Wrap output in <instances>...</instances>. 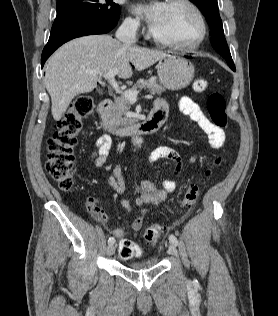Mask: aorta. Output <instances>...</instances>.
<instances>
[{
  "label": "aorta",
  "instance_id": "1",
  "mask_svg": "<svg viewBox=\"0 0 278 316\" xmlns=\"http://www.w3.org/2000/svg\"><path fill=\"white\" fill-rule=\"evenodd\" d=\"M132 141H133V144L136 146H140L142 143V139H140L139 137H134Z\"/></svg>",
  "mask_w": 278,
  "mask_h": 316
}]
</instances>
